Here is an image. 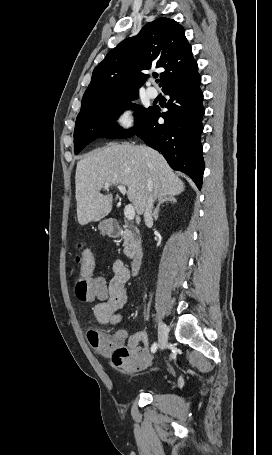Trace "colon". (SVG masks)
<instances>
[{
  "mask_svg": "<svg viewBox=\"0 0 272 455\" xmlns=\"http://www.w3.org/2000/svg\"><path fill=\"white\" fill-rule=\"evenodd\" d=\"M80 249L77 262L81 266L82 276L76 283V296L82 301L103 300L107 295L105 278L94 274L95 259L92 252L82 248L81 245ZM87 336L90 344L105 353L116 369L123 371L126 368L128 351L125 346L114 338L103 336L96 330H90Z\"/></svg>",
  "mask_w": 272,
  "mask_h": 455,
  "instance_id": "colon-1",
  "label": "colon"
}]
</instances>
